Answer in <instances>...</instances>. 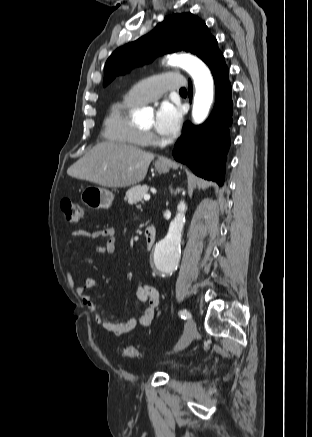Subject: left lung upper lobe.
Masks as SVG:
<instances>
[{"label": "left lung upper lobe", "mask_w": 312, "mask_h": 437, "mask_svg": "<svg viewBox=\"0 0 312 437\" xmlns=\"http://www.w3.org/2000/svg\"><path fill=\"white\" fill-rule=\"evenodd\" d=\"M157 29L138 40L118 48L105 64L103 86L117 75L136 65L152 61L156 56L185 50L196 54L207 65L220 52L217 40L205 23L191 13L173 14L159 23Z\"/></svg>", "instance_id": "obj_1"}]
</instances>
